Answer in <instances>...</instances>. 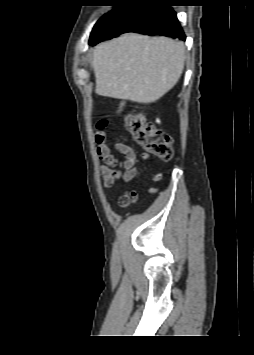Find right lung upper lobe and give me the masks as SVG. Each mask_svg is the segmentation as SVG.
<instances>
[{
	"instance_id": "right-lung-upper-lobe-1",
	"label": "right lung upper lobe",
	"mask_w": 254,
	"mask_h": 355,
	"mask_svg": "<svg viewBox=\"0 0 254 355\" xmlns=\"http://www.w3.org/2000/svg\"><path fill=\"white\" fill-rule=\"evenodd\" d=\"M109 1H117L116 3L127 4V3H133L141 0H109Z\"/></svg>"
}]
</instances>
